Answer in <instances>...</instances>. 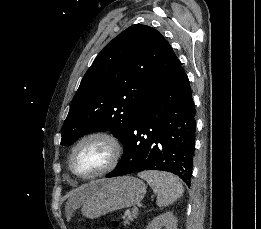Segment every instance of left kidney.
Segmentation results:
<instances>
[{
	"label": "left kidney",
	"mask_w": 261,
	"mask_h": 229,
	"mask_svg": "<svg viewBox=\"0 0 261 229\" xmlns=\"http://www.w3.org/2000/svg\"><path fill=\"white\" fill-rule=\"evenodd\" d=\"M177 219H175L173 213H163L159 217H155L151 223H149L147 229H177Z\"/></svg>",
	"instance_id": "5707ae66"
}]
</instances>
